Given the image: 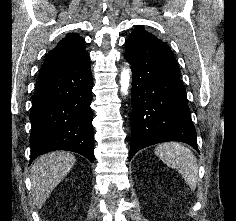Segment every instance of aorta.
<instances>
[{
    "label": "aorta",
    "instance_id": "obj_1",
    "mask_svg": "<svg viewBox=\"0 0 236 221\" xmlns=\"http://www.w3.org/2000/svg\"><path fill=\"white\" fill-rule=\"evenodd\" d=\"M129 85H130V70L125 67V68H123L121 75H120L121 93L123 95H127Z\"/></svg>",
    "mask_w": 236,
    "mask_h": 221
}]
</instances>
